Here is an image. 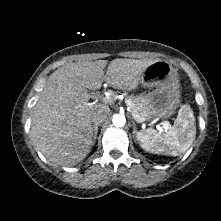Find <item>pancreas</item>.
I'll list each match as a JSON object with an SVG mask.
<instances>
[{
  "label": "pancreas",
  "instance_id": "obj_1",
  "mask_svg": "<svg viewBox=\"0 0 221 221\" xmlns=\"http://www.w3.org/2000/svg\"><path fill=\"white\" fill-rule=\"evenodd\" d=\"M130 107L131 113L138 115L143 121L148 120L149 108L146 104V99L143 96H130L126 102Z\"/></svg>",
  "mask_w": 221,
  "mask_h": 221
}]
</instances>
